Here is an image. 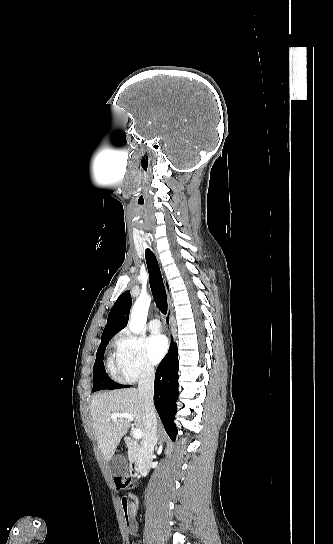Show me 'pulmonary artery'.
<instances>
[{
  "instance_id": "obj_1",
  "label": "pulmonary artery",
  "mask_w": 333,
  "mask_h": 544,
  "mask_svg": "<svg viewBox=\"0 0 333 544\" xmlns=\"http://www.w3.org/2000/svg\"><path fill=\"white\" fill-rule=\"evenodd\" d=\"M149 330L154 334L159 333L161 330L160 321L156 318L151 319L149 322Z\"/></svg>"
}]
</instances>
